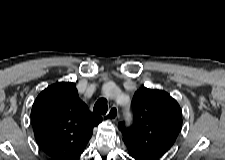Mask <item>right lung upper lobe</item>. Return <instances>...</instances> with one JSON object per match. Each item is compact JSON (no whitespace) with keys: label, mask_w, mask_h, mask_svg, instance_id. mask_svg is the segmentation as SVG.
<instances>
[{"label":"right lung upper lobe","mask_w":225,"mask_h":160,"mask_svg":"<svg viewBox=\"0 0 225 160\" xmlns=\"http://www.w3.org/2000/svg\"><path fill=\"white\" fill-rule=\"evenodd\" d=\"M102 121L88 110L76 85L60 82L48 86L36 98L31 122L39 147L54 160H79L93 128Z\"/></svg>","instance_id":"1"}]
</instances>
